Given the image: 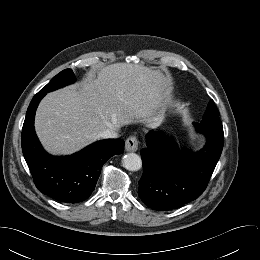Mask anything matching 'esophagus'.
<instances>
[{
    "label": "esophagus",
    "instance_id": "34e87169",
    "mask_svg": "<svg viewBox=\"0 0 260 260\" xmlns=\"http://www.w3.org/2000/svg\"><path fill=\"white\" fill-rule=\"evenodd\" d=\"M139 141L136 136H129L125 142V150L128 152H135L138 150Z\"/></svg>",
    "mask_w": 260,
    "mask_h": 260
}]
</instances>
